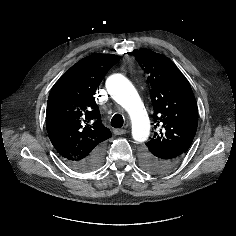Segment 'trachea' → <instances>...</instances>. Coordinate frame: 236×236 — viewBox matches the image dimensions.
<instances>
[{
  "instance_id": "3493384b",
  "label": "trachea",
  "mask_w": 236,
  "mask_h": 236,
  "mask_svg": "<svg viewBox=\"0 0 236 236\" xmlns=\"http://www.w3.org/2000/svg\"><path fill=\"white\" fill-rule=\"evenodd\" d=\"M124 120L122 115L115 114L111 119V126L114 128H121L123 126Z\"/></svg>"
}]
</instances>
